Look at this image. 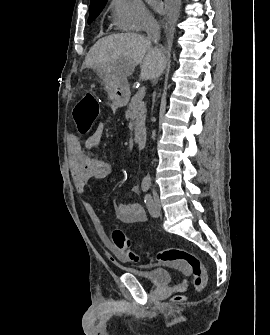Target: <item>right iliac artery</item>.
<instances>
[{"label": "right iliac artery", "mask_w": 270, "mask_h": 335, "mask_svg": "<svg viewBox=\"0 0 270 335\" xmlns=\"http://www.w3.org/2000/svg\"><path fill=\"white\" fill-rule=\"evenodd\" d=\"M149 186H150V180L144 178L143 181H142V185H141L142 190H143L144 192H146V191L149 189Z\"/></svg>", "instance_id": "1"}]
</instances>
